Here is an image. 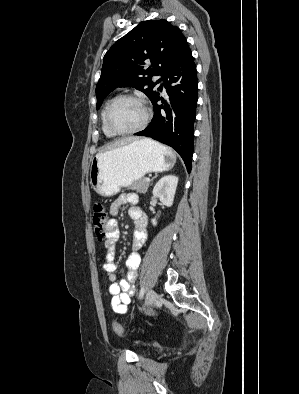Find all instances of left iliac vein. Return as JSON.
<instances>
[{"instance_id": "left-iliac-vein-1", "label": "left iliac vein", "mask_w": 299, "mask_h": 394, "mask_svg": "<svg viewBox=\"0 0 299 394\" xmlns=\"http://www.w3.org/2000/svg\"><path fill=\"white\" fill-rule=\"evenodd\" d=\"M157 300V293L154 290H149L146 296L145 305L147 308L151 307Z\"/></svg>"}]
</instances>
